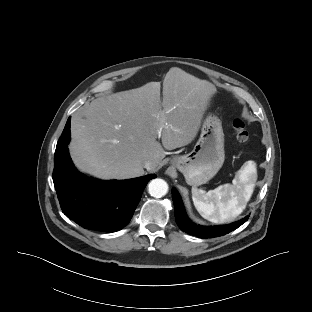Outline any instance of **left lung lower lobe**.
I'll list each match as a JSON object with an SVG mask.
<instances>
[{
    "mask_svg": "<svg viewBox=\"0 0 312 312\" xmlns=\"http://www.w3.org/2000/svg\"><path fill=\"white\" fill-rule=\"evenodd\" d=\"M172 197L174 201V214L176 223L182 231L188 234L197 236L199 238H213L225 235L238 227L248 220L249 216L241 219L238 222H234L223 226H200L196 225L187 217L182 199L175 188L172 189Z\"/></svg>",
    "mask_w": 312,
    "mask_h": 312,
    "instance_id": "obj_1",
    "label": "left lung lower lobe"
}]
</instances>
